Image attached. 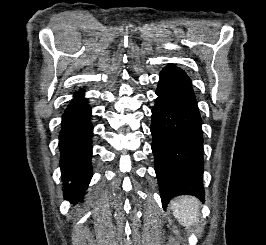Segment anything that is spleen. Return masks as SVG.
Returning <instances> with one entry per match:
<instances>
[{"label":"spleen","instance_id":"obj_1","mask_svg":"<svg viewBox=\"0 0 266 245\" xmlns=\"http://www.w3.org/2000/svg\"><path fill=\"white\" fill-rule=\"evenodd\" d=\"M170 209H172L175 219L183 227H194L196 223H199L200 203L195 197H178L171 201Z\"/></svg>","mask_w":266,"mask_h":245}]
</instances>
